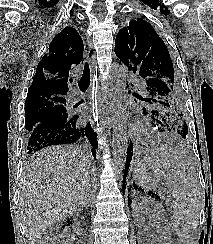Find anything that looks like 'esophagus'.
Returning <instances> with one entry per match:
<instances>
[{
  "label": "esophagus",
  "mask_w": 213,
  "mask_h": 244,
  "mask_svg": "<svg viewBox=\"0 0 213 244\" xmlns=\"http://www.w3.org/2000/svg\"><path fill=\"white\" fill-rule=\"evenodd\" d=\"M88 49H89L88 53H91V69L93 70L94 76H95V72L97 70V67H96V61H95V54L93 53V46L90 45L88 47ZM97 100L99 102V113L101 114L102 113L101 105H102V102L103 101H102V98H101V95L100 94L97 95ZM106 114L108 116V119L110 121H112L113 118H114V112H113V109H112V106L111 105L109 106Z\"/></svg>",
  "instance_id": "esophagus-1"
}]
</instances>
